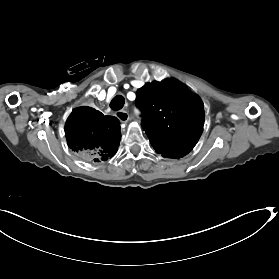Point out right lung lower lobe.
<instances>
[{
  "mask_svg": "<svg viewBox=\"0 0 279 279\" xmlns=\"http://www.w3.org/2000/svg\"><path fill=\"white\" fill-rule=\"evenodd\" d=\"M65 134L69 148L79 158L88 163H100L113 157L118 150L120 122L94 108L79 107L70 114Z\"/></svg>",
  "mask_w": 279,
  "mask_h": 279,
  "instance_id": "98d812e1",
  "label": "right lung lower lobe"
}]
</instances>
